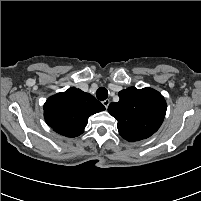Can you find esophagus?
I'll return each mask as SVG.
<instances>
[{"mask_svg": "<svg viewBox=\"0 0 201 201\" xmlns=\"http://www.w3.org/2000/svg\"><path fill=\"white\" fill-rule=\"evenodd\" d=\"M103 105L105 106V108H108L109 104H110V100L109 99H106L104 100L103 102Z\"/></svg>", "mask_w": 201, "mask_h": 201, "instance_id": "obj_1", "label": "esophagus"}]
</instances>
